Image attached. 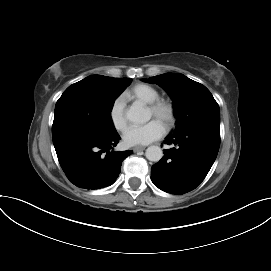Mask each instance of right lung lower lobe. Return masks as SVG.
Returning a JSON list of instances; mask_svg holds the SVG:
<instances>
[{
	"label": "right lung lower lobe",
	"mask_w": 271,
	"mask_h": 271,
	"mask_svg": "<svg viewBox=\"0 0 271 271\" xmlns=\"http://www.w3.org/2000/svg\"><path fill=\"white\" fill-rule=\"evenodd\" d=\"M119 140L116 131L90 130L62 137L54 147L70 182L84 189H99L116 181L122 161L132 154L112 151Z\"/></svg>",
	"instance_id": "right-lung-lower-lobe-1"
}]
</instances>
